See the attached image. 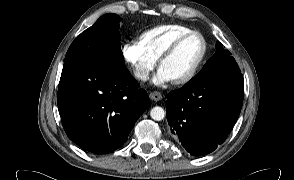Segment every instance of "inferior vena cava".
Instances as JSON below:
<instances>
[{"label": "inferior vena cava", "instance_id": "1", "mask_svg": "<svg viewBox=\"0 0 294 180\" xmlns=\"http://www.w3.org/2000/svg\"><path fill=\"white\" fill-rule=\"evenodd\" d=\"M135 77H137L138 79H141L143 81L147 80V73L143 72V71H136L134 73Z\"/></svg>", "mask_w": 294, "mask_h": 180}]
</instances>
